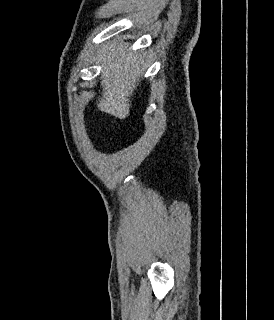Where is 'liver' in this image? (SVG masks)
Listing matches in <instances>:
<instances>
[{
  "label": "liver",
  "mask_w": 274,
  "mask_h": 320,
  "mask_svg": "<svg viewBox=\"0 0 274 320\" xmlns=\"http://www.w3.org/2000/svg\"><path fill=\"white\" fill-rule=\"evenodd\" d=\"M103 88L102 98L97 102L101 112L111 114L115 118L125 120L129 116L132 96L138 86L140 78L147 68L143 58L140 62L143 70L139 68V54L128 52V46L109 48L105 46L103 56H100Z\"/></svg>",
  "instance_id": "obj_1"
}]
</instances>
